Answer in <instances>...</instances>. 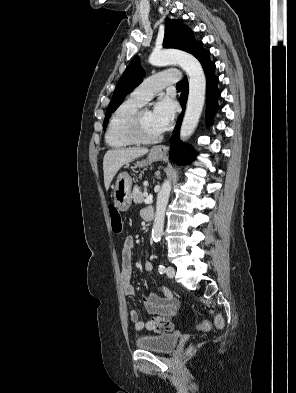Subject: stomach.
<instances>
[{
  "label": "stomach",
  "mask_w": 296,
  "mask_h": 393,
  "mask_svg": "<svg viewBox=\"0 0 296 393\" xmlns=\"http://www.w3.org/2000/svg\"><path fill=\"white\" fill-rule=\"evenodd\" d=\"M164 158L163 155L151 152L147 159L138 161L136 166L144 167L155 161H160ZM132 179L127 172H122L118 175L115 185L113 187L114 202L118 210L127 211L132 203Z\"/></svg>",
  "instance_id": "0dacf381"
}]
</instances>
